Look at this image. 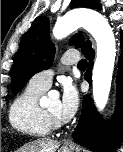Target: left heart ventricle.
Returning a JSON list of instances; mask_svg holds the SVG:
<instances>
[{
  "label": "left heart ventricle",
  "mask_w": 123,
  "mask_h": 152,
  "mask_svg": "<svg viewBox=\"0 0 123 152\" xmlns=\"http://www.w3.org/2000/svg\"><path fill=\"white\" fill-rule=\"evenodd\" d=\"M52 115L60 118V100L59 99H50L45 107Z\"/></svg>",
  "instance_id": "obj_1"
}]
</instances>
